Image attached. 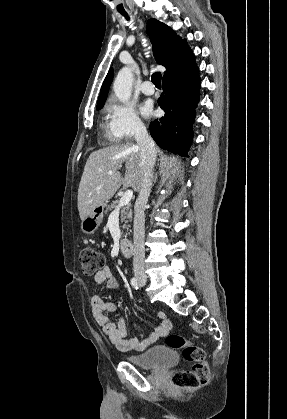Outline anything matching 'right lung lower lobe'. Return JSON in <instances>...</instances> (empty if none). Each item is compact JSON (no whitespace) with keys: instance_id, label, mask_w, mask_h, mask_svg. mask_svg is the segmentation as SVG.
Segmentation results:
<instances>
[{"instance_id":"1","label":"right lung lower lobe","mask_w":287,"mask_h":419,"mask_svg":"<svg viewBox=\"0 0 287 419\" xmlns=\"http://www.w3.org/2000/svg\"><path fill=\"white\" fill-rule=\"evenodd\" d=\"M200 83L197 65L163 78V93L158 104L165 115L150 123V134L159 147L187 155L193 139L192 125L199 102Z\"/></svg>"}]
</instances>
